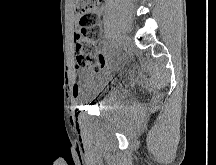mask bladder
Listing matches in <instances>:
<instances>
[{"mask_svg":"<svg viewBox=\"0 0 216 165\" xmlns=\"http://www.w3.org/2000/svg\"><path fill=\"white\" fill-rule=\"evenodd\" d=\"M91 87L88 89L87 98L89 100H100L98 106H107L111 94H119V89H113V86L117 85L115 76H108L107 74H101L97 77L90 79ZM106 88V89H105Z\"/></svg>","mask_w":216,"mask_h":165,"instance_id":"31cf9c89","label":"bladder"}]
</instances>
